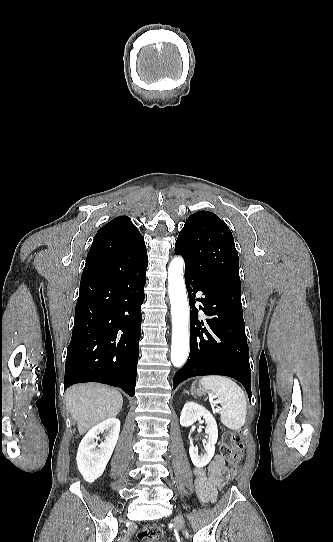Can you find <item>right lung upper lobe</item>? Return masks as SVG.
I'll list each match as a JSON object with an SVG mask.
<instances>
[{"instance_id": "right-lung-upper-lobe-1", "label": "right lung upper lobe", "mask_w": 333, "mask_h": 542, "mask_svg": "<svg viewBox=\"0 0 333 542\" xmlns=\"http://www.w3.org/2000/svg\"><path fill=\"white\" fill-rule=\"evenodd\" d=\"M143 242V236L131 222V219L127 216H120L98 230L89 253L109 251L116 247Z\"/></svg>"}]
</instances>
